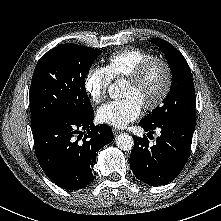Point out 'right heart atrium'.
<instances>
[{
  "label": "right heart atrium",
  "instance_id": "1",
  "mask_svg": "<svg viewBox=\"0 0 221 221\" xmlns=\"http://www.w3.org/2000/svg\"><path fill=\"white\" fill-rule=\"evenodd\" d=\"M112 77L106 66H92L84 79V89L94 103L106 98L107 89Z\"/></svg>",
  "mask_w": 221,
  "mask_h": 221
}]
</instances>
